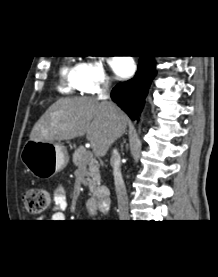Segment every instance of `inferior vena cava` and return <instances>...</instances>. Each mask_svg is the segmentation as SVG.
<instances>
[{"instance_id": "1", "label": "inferior vena cava", "mask_w": 218, "mask_h": 277, "mask_svg": "<svg viewBox=\"0 0 218 277\" xmlns=\"http://www.w3.org/2000/svg\"><path fill=\"white\" fill-rule=\"evenodd\" d=\"M109 98H110L109 84L107 82H103L98 94V99L102 100L112 110L116 111L117 106L113 102L108 101ZM112 157H113L112 168H113V176H114V183H115V191H116L117 201H118L119 218L124 221L129 218L128 197H127L125 184L122 178V174L120 171V154L116 149L113 150Z\"/></svg>"}]
</instances>
